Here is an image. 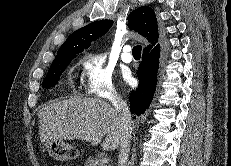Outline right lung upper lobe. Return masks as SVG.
<instances>
[{"mask_svg":"<svg viewBox=\"0 0 231 166\" xmlns=\"http://www.w3.org/2000/svg\"><path fill=\"white\" fill-rule=\"evenodd\" d=\"M128 27L144 36L151 45L144 48L143 52L153 49L158 41V24L155 12L148 6H142L132 11L128 16ZM111 20L92 22L73 32L59 48L56 57L61 55H76L85 48L90 47L91 42L104 35L112 26ZM55 57V58H56Z\"/></svg>","mask_w":231,"mask_h":166,"instance_id":"right-lung-upper-lobe-1","label":"right lung upper lobe"}]
</instances>
